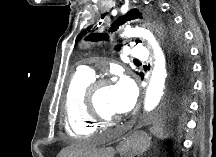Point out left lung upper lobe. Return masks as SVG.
I'll list each match as a JSON object with an SVG mask.
<instances>
[{"label":"left lung upper lobe","instance_id":"obj_1","mask_svg":"<svg viewBox=\"0 0 216 157\" xmlns=\"http://www.w3.org/2000/svg\"><path fill=\"white\" fill-rule=\"evenodd\" d=\"M143 18L147 20L163 38L170 65L169 85L172 80V75L182 84L189 81L191 64L189 61V51L184 42L183 35L174 27L172 21L163 17L158 10L149 9L144 13H141L138 9H131L125 15L119 16L112 23L109 32L116 31L120 26L128 21ZM107 38V33H94L86 37V40L99 41L106 40ZM139 42L141 41L136 40V43ZM120 48L121 45L115 47L117 51H119Z\"/></svg>","mask_w":216,"mask_h":157}]
</instances>
